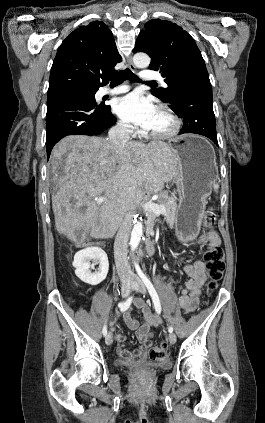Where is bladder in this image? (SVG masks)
Segmentation results:
<instances>
[{
  "mask_svg": "<svg viewBox=\"0 0 265 423\" xmlns=\"http://www.w3.org/2000/svg\"><path fill=\"white\" fill-rule=\"evenodd\" d=\"M117 364H118V366H120V367H127V366H130V363H129L128 361H125V360H118V361H117Z\"/></svg>",
  "mask_w": 265,
  "mask_h": 423,
  "instance_id": "bladder-1",
  "label": "bladder"
}]
</instances>
